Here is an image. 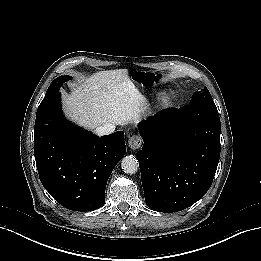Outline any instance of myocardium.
<instances>
[{"label": "myocardium", "mask_w": 261, "mask_h": 261, "mask_svg": "<svg viewBox=\"0 0 261 261\" xmlns=\"http://www.w3.org/2000/svg\"><path fill=\"white\" fill-rule=\"evenodd\" d=\"M171 105L170 101L164 100L163 103L161 104L160 108L161 109H166Z\"/></svg>", "instance_id": "myocardium-1"}]
</instances>
